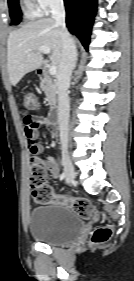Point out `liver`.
Listing matches in <instances>:
<instances>
[{"label":"liver","mask_w":134,"mask_h":281,"mask_svg":"<svg viewBox=\"0 0 134 281\" xmlns=\"http://www.w3.org/2000/svg\"><path fill=\"white\" fill-rule=\"evenodd\" d=\"M51 49L50 61L59 69L62 57L60 28L51 18L31 21L11 32L7 40V68L13 86L26 75L41 67L43 52L39 46ZM31 49V52H27Z\"/></svg>","instance_id":"liver-1"}]
</instances>
